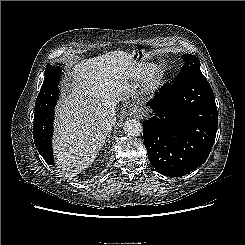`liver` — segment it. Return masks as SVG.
Wrapping results in <instances>:
<instances>
[{"label": "liver", "instance_id": "6515ba94", "mask_svg": "<svg viewBox=\"0 0 245 245\" xmlns=\"http://www.w3.org/2000/svg\"><path fill=\"white\" fill-rule=\"evenodd\" d=\"M138 71L134 55L125 51L82 59L70 73L56 109L54 149L58 168L75 176L92 164L109 133L96 113L105 99L114 103L130 92L129 80Z\"/></svg>", "mask_w": 245, "mask_h": 245}]
</instances>
